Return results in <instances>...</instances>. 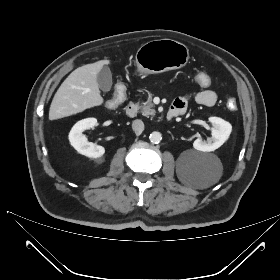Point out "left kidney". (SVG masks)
<instances>
[{"mask_svg": "<svg viewBox=\"0 0 280 280\" xmlns=\"http://www.w3.org/2000/svg\"><path fill=\"white\" fill-rule=\"evenodd\" d=\"M209 122L213 127L211 133L212 137L207 138V140L201 138L196 139L193 143V147L198 151L211 152L218 149L225 141H227L231 134L232 125L224 119L210 117Z\"/></svg>", "mask_w": 280, "mask_h": 280, "instance_id": "1", "label": "left kidney"}]
</instances>
